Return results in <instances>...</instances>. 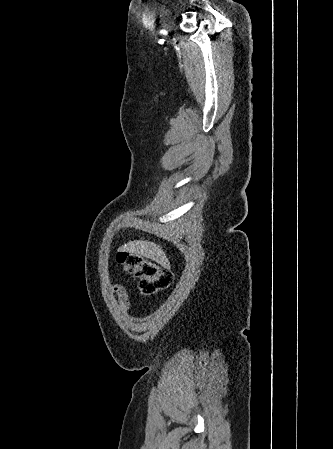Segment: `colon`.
I'll return each mask as SVG.
<instances>
[{
    "mask_svg": "<svg viewBox=\"0 0 333 449\" xmlns=\"http://www.w3.org/2000/svg\"><path fill=\"white\" fill-rule=\"evenodd\" d=\"M117 262L138 279V287L145 295H151L171 286L173 273L155 261L130 251H119Z\"/></svg>",
    "mask_w": 333,
    "mask_h": 449,
    "instance_id": "5ec220e1",
    "label": "colon"
}]
</instances>
